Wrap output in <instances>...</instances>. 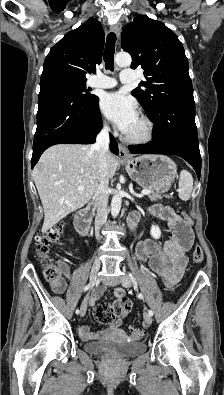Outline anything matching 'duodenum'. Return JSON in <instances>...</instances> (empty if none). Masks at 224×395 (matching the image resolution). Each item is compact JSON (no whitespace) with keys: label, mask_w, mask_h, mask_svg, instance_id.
Instances as JSON below:
<instances>
[{"label":"duodenum","mask_w":224,"mask_h":395,"mask_svg":"<svg viewBox=\"0 0 224 395\" xmlns=\"http://www.w3.org/2000/svg\"><path fill=\"white\" fill-rule=\"evenodd\" d=\"M93 212V205H88L84 209H82L75 217V228L80 236L87 237L89 233V224H90V217ZM137 215H131L128 218V223L130 229L134 228V225L137 221Z\"/></svg>","instance_id":"obj_1"}]
</instances>
